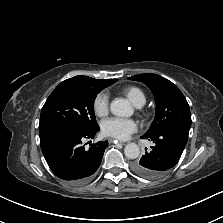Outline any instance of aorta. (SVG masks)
I'll use <instances>...</instances> for the list:
<instances>
[{"instance_id": "obj_1", "label": "aorta", "mask_w": 223, "mask_h": 223, "mask_svg": "<svg viewBox=\"0 0 223 223\" xmlns=\"http://www.w3.org/2000/svg\"><path fill=\"white\" fill-rule=\"evenodd\" d=\"M110 111L118 117H130L133 114L132 106L127 101L121 99L111 102ZM124 154L129 159H136L140 155V148L135 143H129L125 146Z\"/></svg>"}]
</instances>
